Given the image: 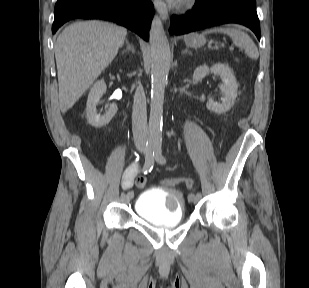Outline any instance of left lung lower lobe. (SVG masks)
<instances>
[{
    "mask_svg": "<svg viewBox=\"0 0 309 288\" xmlns=\"http://www.w3.org/2000/svg\"><path fill=\"white\" fill-rule=\"evenodd\" d=\"M225 23L245 25L260 40L255 0H196L194 11L172 16L169 31L180 35Z\"/></svg>",
    "mask_w": 309,
    "mask_h": 288,
    "instance_id": "left-lung-lower-lobe-1",
    "label": "left lung lower lobe"
}]
</instances>
